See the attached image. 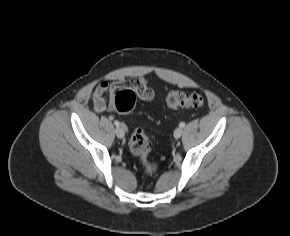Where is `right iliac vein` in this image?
Segmentation results:
<instances>
[{"instance_id": "obj_1", "label": "right iliac vein", "mask_w": 290, "mask_h": 236, "mask_svg": "<svg viewBox=\"0 0 290 236\" xmlns=\"http://www.w3.org/2000/svg\"><path fill=\"white\" fill-rule=\"evenodd\" d=\"M115 133L117 135L118 138H123L125 136V126H118L115 130Z\"/></svg>"}]
</instances>
